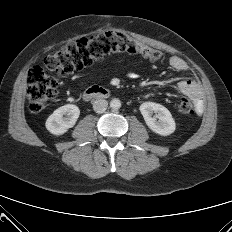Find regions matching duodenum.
Instances as JSON below:
<instances>
[{
	"mask_svg": "<svg viewBox=\"0 0 232 232\" xmlns=\"http://www.w3.org/2000/svg\"><path fill=\"white\" fill-rule=\"evenodd\" d=\"M110 95V90L100 86H94L86 89L83 93V98L87 101L93 99L107 98Z\"/></svg>",
	"mask_w": 232,
	"mask_h": 232,
	"instance_id": "obj_1",
	"label": "duodenum"
}]
</instances>
